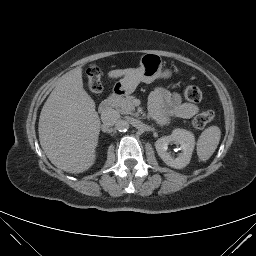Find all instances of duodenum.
Here are the masks:
<instances>
[{
    "label": "duodenum",
    "instance_id": "duodenum-1",
    "mask_svg": "<svg viewBox=\"0 0 256 256\" xmlns=\"http://www.w3.org/2000/svg\"><path fill=\"white\" fill-rule=\"evenodd\" d=\"M123 94H124L123 90L119 89L114 91L109 97H107L104 101H102V103L99 106V112L101 114H107L111 110L116 99L122 96Z\"/></svg>",
    "mask_w": 256,
    "mask_h": 256
}]
</instances>
